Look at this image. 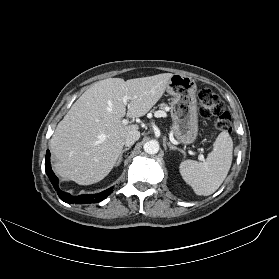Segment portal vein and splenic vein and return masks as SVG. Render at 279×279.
<instances>
[{"label":"portal vein and splenic vein","mask_w":279,"mask_h":279,"mask_svg":"<svg viewBox=\"0 0 279 279\" xmlns=\"http://www.w3.org/2000/svg\"><path fill=\"white\" fill-rule=\"evenodd\" d=\"M130 99H133V98H132V97H129V96H126V95L123 96V97H122V101H123L124 105H126L127 102H128ZM163 114H164L163 112L158 111V112L155 113V116H156V117H162ZM122 123H123L124 125H127V124L129 123V121H128L127 119H123V120H122ZM200 160H203V155H200Z\"/></svg>","instance_id":"portal-vein-and-splenic-vein-1"}]
</instances>
